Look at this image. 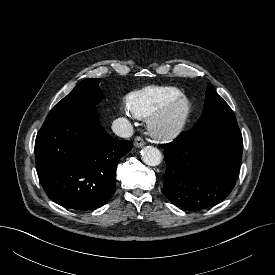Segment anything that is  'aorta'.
Instances as JSON below:
<instances>
[{"instance_id":"762f6f07","label":"aorta","mask_w":275,"mask_h":275,"mask_svg":"<svg viewBox=\"0 0 275 275\" xmlns=\"http://www.w3.org/2000/svg\"><path fill=\"white\" fill-rule=\"evenodd\" d=\"M142 161L149 166H157L162 161L160 150L153 146H146L141 150Z\"/></svg>"}]
</instances>
